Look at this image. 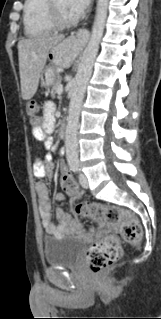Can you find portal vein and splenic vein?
I'll return each mask as SVG.
<instances>
[{
  "label": "portal vein and splenic vein",
  "instance_id": "1",
  "mask_svg": "<svg viewBox=\"0 0 161 319\" xmlns=\"http://www.w3.org/2000/svg\"><path fill=\"white\" fill-rule=\"evenodd\" d=\"M62 91H63V85H59L57 90L58 94L62 93Z\"/></svg>",
  "mask_w": 161,
  "mask_h": 319
}]
</instances>
